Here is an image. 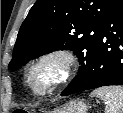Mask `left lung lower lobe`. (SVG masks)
<instances>
[{"label":"left lung lower lobe","instance_id":"0a47b994","mask_svg":"<svg viewBox=\"0 0 123 113\" xmlns=\"http://www.w3.org/2000/svg\"><path fill=\"white\" fill-rule=\"evenodd\" d=\"M108 85H123V0L112 1L83 80L61 96Z\"/></svg>","mask_w":123,"mask_h":113}]
</instances>
